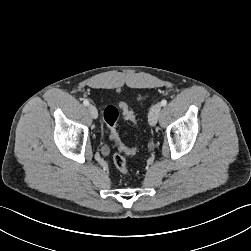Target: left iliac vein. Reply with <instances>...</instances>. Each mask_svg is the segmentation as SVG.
<instances>
[{"mask_svg":"<svg viewBox=\"0 0 251 251\" xmlns=\"http://www.w3.org/2000/svg\"><path fill=\"white\" fill-rule=\"evenodd\" d=\"M160 111H161V104H159V103L154 104L151 107L149 114H148V121L151 126L156 125V123L159 119Z\"/></svg>","mask_w":251,"mask_h":251,"instance_id":"4c4485c4","label":"left iliac vein"}]
</instances>
